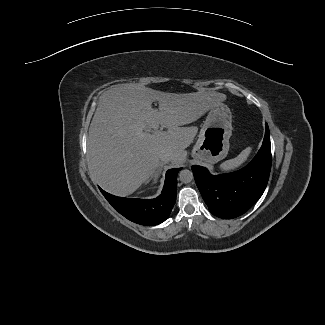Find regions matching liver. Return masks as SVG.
<instances>
[{
	"label": "liver",
	"mask_w": 325,
	"mask_h": 325,
	"mask_svg": "<svg viewBox=\"0 0 325 325\" xmlns=\"http://www.w3.org/2000/svg\"><path fill=\"white\" fill-rule=\"evenodd\" d=\"M218 92H161L140 84H119L104 91L90 124L87 152L91 176L104 190L118 196L136 191L159 166V153L170 151L181 165L197 127H180L200 118L226 100ZM158 101L159 110L152 108ZM168 128L150 136L137 128Z\"/></svg>",
	"instance_id": "obj_1"
}]
</instances>
